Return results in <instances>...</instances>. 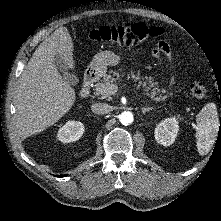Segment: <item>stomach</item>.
<instances>
[{
  "instance_id": "1",
  "label": "stomach",
  "mask_w": 221,
  "mask_h": 221,
  "mask_svg": "<svg viewBox=\"0 0 221 221\" xmlns=\"http://www.w3.org/2000/svg\"><path fill=\"white\" fill-rule=\"evenodd\" d=\"M120 57L110 51H102L96 54L88 66V72L94 76H103L108 66H115L119 63Z\"/></svg>"
}]
</instances>
